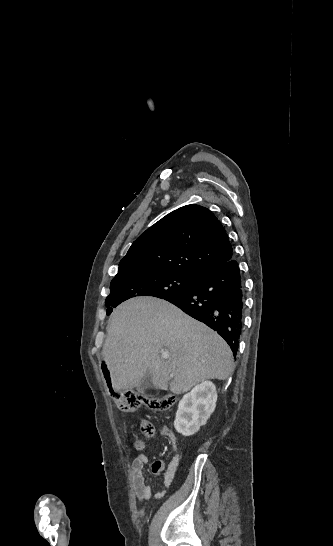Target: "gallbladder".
<instances>
[{"mask_svg": "<svg viewBox=\"0 0 333 546\" xmlns=\"http://www.w3.org/2000/svg\"><path fill=\"white\" fill-rule=\"evenodd\" d=\"M136 389L139 393L144 395H150L156 390V387L153 385L152 382V376L149 372L144 375L143 379L140 381Z\"/></svg>", "mask_w": 333, "mask_h": 546, "instance_id": "gallbladder-1", "label": "gallbladder"}]
</instances>
